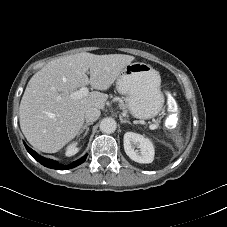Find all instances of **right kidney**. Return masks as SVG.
<instances>
[{
    "instance_id": "obj_1",
    "label": "right kidney",
    "mask_w": 227,
    "mask_h": 227,
    "mask_svg": "<svg viewBox=\"0 0 227 227\" xmlns=\"http://www.w3.org/2000/svg\"><path fill=\"white\" fill-rule=\"evenodd\" d=\"M77 145H78L77 142H73L70 145H68L65 152L66 156L70 157L78 153L80 148L77 147Z\"/></svg>"
}]
</instances>
